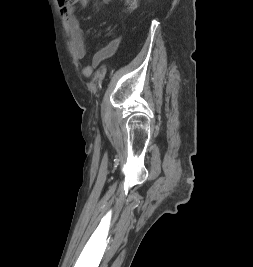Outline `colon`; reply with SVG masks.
Here are the masks:
<instances>
[{
  "mask_svg": "<svg viewBox=\"0 0 253 267\" xmlns=\"http://www.w3.org/2000/svg\"><path fill=\"white\" fill-rule=\"evenodd\" d=\"M79 0H58L61 7H71L75 5ZM127 10H133L136 8L137 0H125Z\"/></svg>",
  "mask_w": 253,
  "mask_h": 267,
  "instance_id": "obj_1",
  "label": "colon"
}]
</instances>
